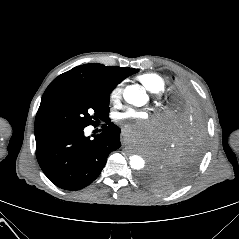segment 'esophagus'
Wrapping results in <instances>:
<instances>
[{"mask_svg":"<svg viewBox=\"0 0 239 239\" xmlns=\"http://www.w3.org/2000/svg\"><path fill=\"white\" fill-rule=\"evenodd\" d=\"M119 141H120V143L121 144H126V135L124 134V133H121L120 135H119Z\"/></svg>","mask_w":239,"mask_h":239,"instance_id":"obj_1","label":"esophagus"}]
</instances>
